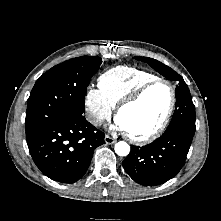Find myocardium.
Instances as JSON below:
<instances>
[{
  "instance_id": "obj_1",
  "label": "myocardium",
  "mask_w": 221,
  "mask_h": 221,
  "mask_svg": "<svg viewBox=\"0 0 221 221\" xmlns=\"http://www.w3.org/2000/svg\"><path fill=\"white\" fill-rule=\"evenodd\" d=\"M159 83H163V84L167 85L169 88V91H170V102H169V107L167 109V112H166L163 120L159 124V126L155 130L150 132L149 134L142 135V136H135V135L131 134L130 132H127L128 138L133 143L142 144V143L151 142V141L155 140L156 138H158L163 133V131L168 126V124L171 120V117L173 115L174 109H175V105H176L175 89L170 81L163 79V78H155L153 80H150V81L144 83L140 87H138L136 90H134L128 96H126L123 100H121L116 107L115 117L119 121V115L123 109L137 103L143 97V95L146 93V91L149 88H151L152 86L159 84Z\"/></svg>"
}]
</instances>
